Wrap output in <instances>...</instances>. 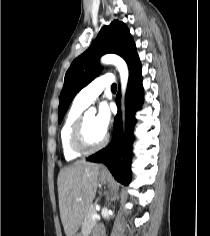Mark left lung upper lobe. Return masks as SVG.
Returning <instances> with one entry per match:
<instances>
[{
  "label": "left lung upper lobe",
  "instance_id": "left-lung-upper-lobe-1",
  "mask_svg": "<svg viewBox=\"0 0 210 236\" xmlns=\"http://www.w3.org/2000/svg\"><path fill=\"white\" fill-rule=\"evenodd\" d=\"M106 53L120 55L127 62L130 73L140 64L127 26L122 22L113 21L109 26L103 27L89 49L72 62L65 74L58 110L59 123L76 93L101 71L99 59Z\"/></svg>",
  "mask_w": 210,
  "mask_h": 236
}]
</instances>
